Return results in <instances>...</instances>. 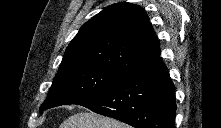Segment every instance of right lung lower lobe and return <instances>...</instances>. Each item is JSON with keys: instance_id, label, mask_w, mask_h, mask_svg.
<instances>
[{"instance_id": "right-lung-lower-lobe-1", "label": "right lung lower lobe", "mask_w": 221, "mask_h": 128, "mask_svg": "<svg viewBox=\"0 0 221 128\" xmlns=\"http://www.w3.org/2000/svg\"><path fill=\"white\" fill-rule=\"evenodd\" d=\"M77 104L135 128H175V86L160 56Z\"/></svg>"}]
</instances>
